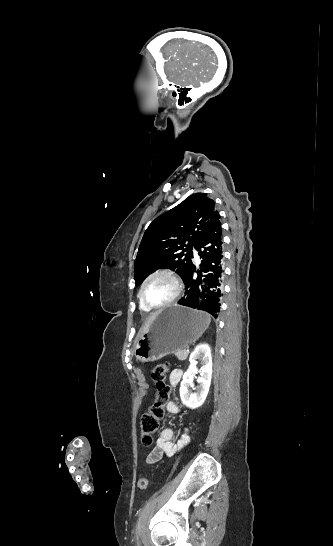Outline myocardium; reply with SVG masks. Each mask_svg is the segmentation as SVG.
Masks as SVG:
<instances>
[{"label":"myocardium","instance_id":"1","mask_svg":"<svg viewBox=\"0 0 333 546\" xmlns=\"http://www.w3.org/2000/svg\"><path fill=\"white\" fill-rule=\"evenodd\" d=\"M157 276H167L168 278H170L172 280V282L174 283L175 285V292L173 294V296L167 300L166 302L162 303V304H159V305H152L150 304L145 296H144V290H145V287L147 286V284L155 277ZM183 290V283H182V280L181 278L178 276V274L176 272H174L172 269H169V268H161V269H158L154 272H152L151 274H149L146 279L143 281L141 287H140V290H139V299L141 300V302L148 308L150 309H161V308H164V307H167L171 304H173L180 296L181 292Z\"/></svg>","mask_w":333,"mask_h":546}]
</instances>
